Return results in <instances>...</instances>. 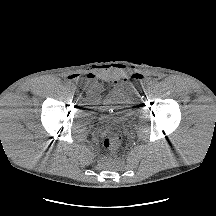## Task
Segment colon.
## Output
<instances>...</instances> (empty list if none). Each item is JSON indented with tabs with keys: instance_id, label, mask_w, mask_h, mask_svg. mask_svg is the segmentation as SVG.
<instances>
[{
	"instance_id": "1",
	"label": "colon",
	"mask_w": 216,
	"mask_h": 216,
	"mask_svg": "<svg viewBox=\"0 0 216 216\" xmlns=\"http://www.w3.org/2000/svg\"><path fill=\"white\" fill-rule=\"evenodd\" d=\"M122 136L118 133L107 135L103 140V147L107 150H116L122 144Z\"/></svg>"
}]
</instances>
